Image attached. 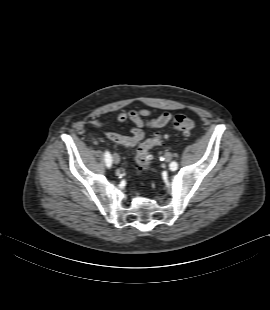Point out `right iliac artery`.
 I'll list each match as a JSON object with an SVG mask.
<instances>
[{
	"label": "right iliac artery",
	"mask_w": 270,
	"mask_h": 310,
	"mask_svg": "<svg viewBox=\"0 0 270 310\" xmlns=\"http://www.w3.org/2000/svg\"><path fill=\"white\" fill-rule=\"evenodd\" d=\"M105 163L107 167H111L112 165V156L109 151H105Z\"/></svg>",
	"instance_id": "right-iliac-artery-1"
}]
</instances>
